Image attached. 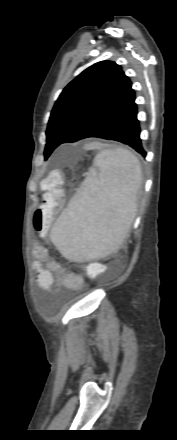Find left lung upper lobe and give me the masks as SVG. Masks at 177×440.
Segmentation results:
<instances>
[{
    "label": "left lung upper lobe",
    "instance_id": "left-lung-upper-lobe-1",
    "mask_svg": "<svg viewBox=\"0 0 177 440\" xmlns=\"http://www.w3.org/2000/svg\"><path fill=\"white\" fill-rule=\"evenodd\" d=\"M135 96L120 65L98 62L78 75L56 101L46 131L45 159L53 150L82 139Z\"/></svg>",
    "mask_w": 177,
    "mask_h": 440
}]
</instances>
